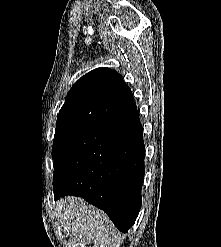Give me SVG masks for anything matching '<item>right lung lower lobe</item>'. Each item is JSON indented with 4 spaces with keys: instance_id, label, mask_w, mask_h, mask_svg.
Returning <instances> with one entry per match:
<instances>
[{
    "instance_id": "1",
    "label": "right lung lower lobe",
    "mask_w": 221,
    "mask_h": 247,
    "mask_svg": "<svg viewBox=\"0 0 221 247\" xmlns=\"http://www.w3.org/2000/svg\"><path fill=\"white\" fill-rule=\"evenodd\" d=\"M145 146L137 109L76 136L54 164L55 199L80 196L128 232L141 208Z\"/></svg>"
}]
</instances>
